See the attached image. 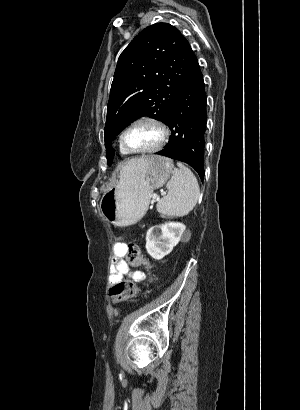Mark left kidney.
Masks as SVG:
<instances>
[{
	"label": "left kidney",
	"mask_w": 300,
	"mask_h": 410,
	"mask_svg": "<svg viewBox=\"0 0 300 410\" xmlns=\"http://www.w3.org/2000/svg\"><path fill=\"white\" fill-rule=\"evenodd\" d=\"M186 226L179 222H166L151 227L146 234V250L157 260L168 255L179 243Z\"/></svg>",
	"instance_id": "obj_1"
}]
</instances>
